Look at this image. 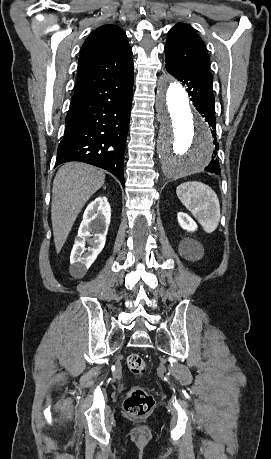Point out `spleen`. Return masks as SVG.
Instances as JSON below:
<instances>
[{"instance_id": "3e777b00", "label": "spleen", "mask_w": 271, "mask_h": 459, "mask_svg": "<svg viewBox=\"0 0 271 459\" xmlns=\"http://www.w3.org/2000/svg\"><path fill=\"white\" fill-rule=\"evenodd\" d=\"M176 194L187 210L194 214L204 231L212 233L218 228L221 218L220 204L215 192L209 186L200 182H186L178 186Z\"/></svg>"}]
</instances>
